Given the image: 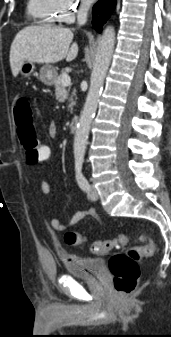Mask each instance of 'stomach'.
<instances>
[{
  "mask_svg": "<svg viewBox=\"0 0 171 337\" xmlns=\"http://www.w3.org/2000/svg\"><path fill=\"white\" fill-rule=\"evenodd\" d=\"M35 69V65L33 62L25 61L19 70V73L23 77H29ZM57 76L56 69L50 65H45L40 69V80L47 84L51 85L55 82Z\"/></svg>",
  "mask_w": 171,
  "mask_h": 337,
  "instance_id": "1",
  "label": "stomach"
}]
</instances>
